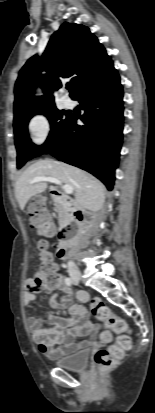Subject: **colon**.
<instances>
[{
    "label": "colon",
    "instance_id": "5ec220e1",
    "mask_svg": "<svg viewBox=\"0 0 155 413\" xmlns=\"http://www.w3.org/2000/svg\"><path fill=\"white\" fill-rule=\"evenodd\" d=\"M33 201L26 210L30 225L41 234L52 230V221L47 211L45 192H34ZM39 256L41 260V273L49 286L57 283V274L52 260V255L45 241L38 243ZM93 315L115 333L120 334L116 341L108 348L100 349L94 356L96 365L102 369H109L115 366L124 356V353L131 348V338L128 335L129 327L125 320L114 315L109 307L99 299L91 301Z\"/></svg>",
    "mask_w": 155,
    "mask_h": 413
}]
</instances>
